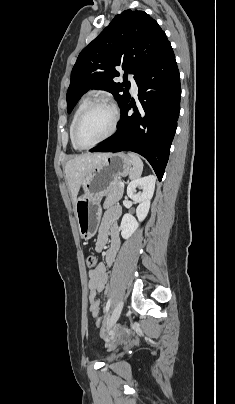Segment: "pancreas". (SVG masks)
I'll use <instances>...</instances> for the list:
<instances>
[{
    "label": "pancreas",
    "mask_w": 235,
    "mask_h": 404,
    "mask_svg": "<svg viewBox=\"0 0 235 404\" xmlns=\"http://www.w3.org/2000/svg\"><path fill=\"white\" fill-rule=\"evenodd\" d=\"M124 188L120 187V181H113L106 191V200L104 205L108 206L112 203L119 201L122 198Z\"/></svg>",
    "instance_id": "cf45deb5"
}]
</instances>
